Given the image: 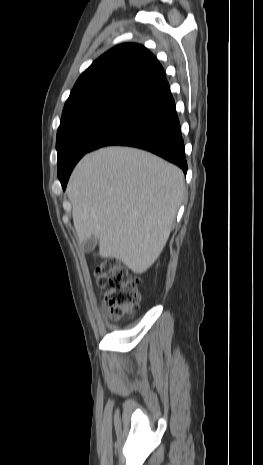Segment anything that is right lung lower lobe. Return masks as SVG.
Returning a JSON list of instances; mask_svg holds the SVG:
<instances>
[{
    "instance_id": "98d812e1",
    "label": "right lung lower lobe",
    "mask_w": 263,
    "mask_h": 465,
    "mask_svg": "<svg viewBox=\"0 0 263 465\" xmlns=\"http://www.w3.org/2000/svg\"><path fill=\"white\" fill-rule=\"evenodd\" d=\"M110 145L150 151L187 172L180 123L167 82L141 95L94 143L90 151ZM70 174L60 179L63 189Z\"/></svg>"
}]
</instances>
